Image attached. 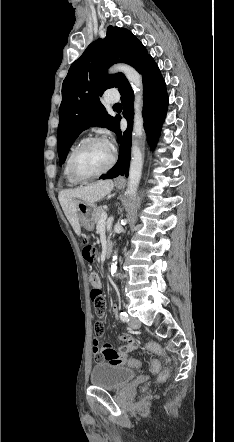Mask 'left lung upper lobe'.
I'll use <instances>...</instances> for the list:
<instances>
[{"label":"left lung upper lobe","instance_id":"1","mask_svg":"<svg viewBox=\"0 0 234 442\" xmlns=\"http://www.w3.org/2000/svg\"><path fill=\"white\" fill-rule=\"evenodd\" d=\"M149 56L129 30L109 26L106 37L91 43L71 65L63 81L59 110L57 150L60 165L75 139L89 126L99 124L118 132V116L112 117L106 112L99 96L113 87L120 91L129 83L123 73L107 75V68L125 62L140 73Z\"/></svg>","mask_w":234,"mask_h":442}]
</instances>
